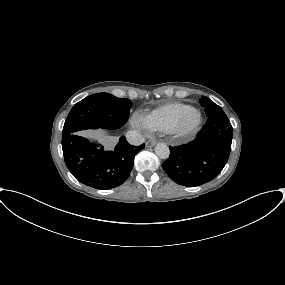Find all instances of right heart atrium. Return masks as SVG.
Returning a JSON list of instances; mask_svg holds the SVG:
<instances>
[{
    "mask_svg": "<svg viewBox=\"0 0 285 285\" xmlns=\"http://www.w3.org/2000/svg\"><path fill=\"white\" fill-rule=\"evenodd\" d=\"M134 123H135L136 125L140 126V123L138 122V120H137V121H134Z\"/></svg>",
    "mask_w": 285,
    "mask_h": 285,
    "instance_id": "right-heart-atrium-1",
    "label": "right heart atrium"
}]
</instances>
